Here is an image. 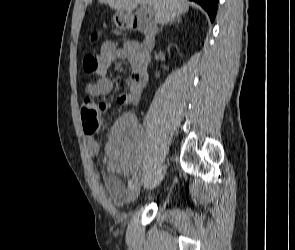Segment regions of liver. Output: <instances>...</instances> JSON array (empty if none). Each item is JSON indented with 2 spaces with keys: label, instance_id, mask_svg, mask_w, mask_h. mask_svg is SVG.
<instances>
[{
  "label": "liver",
  "instance_id": "liver-1",
  "mask_svg": "<svg viewBox=\"0 0 295 250\" xmlns=\"http://www.w3.org/2000/svg\"><path fill=\"white\" fill-rule=\"evenodd\" d=\"M101 4H108L118 12L131 13L139 4L148 5L155 15V22L165 24L171 19L180 17L189 9L185 0H99Z\"/></svg>",
  "mask_w": 295,
  "mask_h": 250
}]
</instances>
